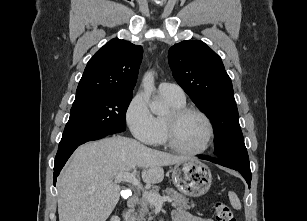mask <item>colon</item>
<instances>
[{
    "label": "colon",
    "instance_id": "5ec220e1",
    "mask_svg": "<svg viewBox=\"0 0 307 221\" xmlns=\"http://www.w3.org/2000/svg\"><path fill=\"white\" fill-rule=\"evenodd\" d=\"M215 217L217 221H235V217L232 209L229 205L223 202H217L215 204ZM110 221H119L116 217L110 219Z\"/></svg>",
    "mask_w": 307,
    "mask_h": 221
}]
</instances>
